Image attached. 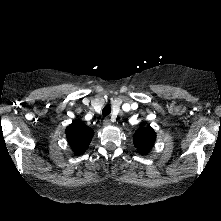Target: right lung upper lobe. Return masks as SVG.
<instances>
[{"label": "right lung upper lobe", "instance_id": "cb5924a9", "mask_svg": "<svg viewBox=\"0 0 221 221\" xmlns=\"http://www.w3.org/2000/svg\"><path fill=\"white\" fill-rule=\"evenodd\" d=\"M93 135V129L80 120L74 121L66 129L67 140L75 155H80L86 151Z\"/></svg>", "mask_w": 221, "mask_h": 221}]
</instances>
